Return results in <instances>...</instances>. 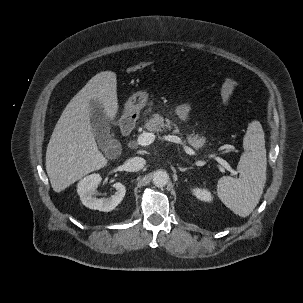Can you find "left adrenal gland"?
I'll use <instances>...</instances> for the list:
<instances>
[{
	"label": "left adrenal gland",
	"mask_w": 303,
	"mask_h": 303,
	"mask_svg": "<svg viewBox=\"0 0 303 303\" xmlns=\"http://www.w3.org/2000/svg\"><path fill=\"white\" fill-rule=\"evenodd\" d=\"M178 169L181 171V172H185V171H187V170H189V169H192V167H185V168H183V167H178Z\"/></svg>",
	"instance_id": "obj_1"
}]
</instances>
